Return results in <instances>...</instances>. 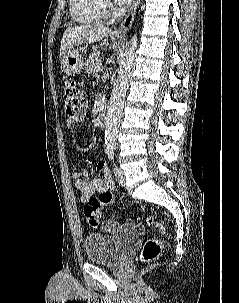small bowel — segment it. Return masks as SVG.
I'll list each match as a JSON object with an SVG mask.
<instances>
[{
  "instance_id": "1",
  "label": "small bowel",
  "mask_w": 239,
  "mask_h": 303,
  "mask_svg": "<svg viewBox=\"0 0 239 303\" xmlns=\"http://www.w3.org/2000/svg\"><path fill=\"white\" fill-rule=\"evenodd\" d=\"M83 121V117L76 119H68L66 121L67 126H71L74 123ZM97 171L101 174V177L94 178L91 180L86 179L87 171L80 170L74 171L72 177L75 181V186L81 194V201L87 202L93 195L97 192H103L106 190H113L114 184L112 177L110 175L107 164L104 161H100L96 165ZM141 227V224L135 222L132 219L126 220L124 223L120 224L113 220H107L103 224L104 230L111 233L127 232L135 230Z\"/></svg>"
}]
</instances>
